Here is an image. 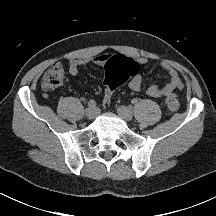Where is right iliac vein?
I'll return each instance as SVG.
<instances>
[{
    "instance_id": "1",
    "label": "right iliac vein",
    "mask_w": 216,
    "mask_h": 216,
    "mask_svg": "<svg viewBox=\"0 0 216 216\" xmlns=\"http://www.w3.org/2000/svg\"><path fill=\"white\" fill-rule=\"evenodd\" d=\"M98 114V111L95 107H88L85 111V116L89 119L92 120L94 119Z\"/></svg>"
}]
</instances>
